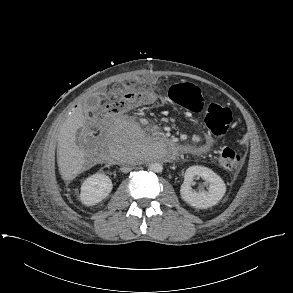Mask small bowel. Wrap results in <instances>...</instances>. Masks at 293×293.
Segmentation results:
<instances>
[{
	"mask_svg": "<svg viewBox=\"0 0 293 293\" xmlns=\"http://www.w3.org/2000/svg\"><path fill=\"white\" fill-rule=\"evenodd\" d=\"M161 102H165L164 99H160ZM214 140L210 135H205L203 138L196 137L195 144H191L185 147L184 151L191 154H206L208 153L212 146Z\"/></svg>",
	"mask_w": 293,
	"mask_h": 293,
	"instance_id": "1",
	"label": "small bowel"
}]
</instances>
